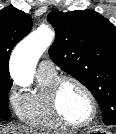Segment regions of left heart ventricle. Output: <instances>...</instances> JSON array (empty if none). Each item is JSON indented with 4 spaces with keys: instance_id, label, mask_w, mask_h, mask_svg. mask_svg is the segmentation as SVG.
<instances>
[{
    "instance_id": "b2bd125f",
    "label": "left heart ventricle",
    "mask_w": 116,
    "mask_h": 134,
    "mask_svg": "<svg viewBox=\"0 0 116 134\" xmlns=\"http://www.w3.org/2000/svg\"><path fill=\"white\" fill-rule=\"evenodd\" d=\"M59 105L63 115L72 122H84L92 108L85 92L73 83H66L60 92Z\"/></svg>"
}]
</instances>
